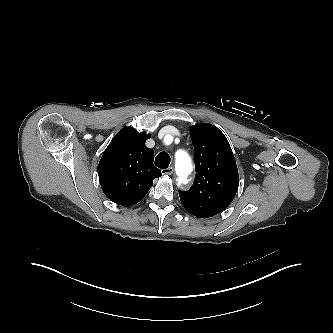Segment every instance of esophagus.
Segmentation results:
<instances>
[{"mask_svg": "<svg viewBox=\"0 0 333 333\" xmlns=\"http://www.w3.org/2000/svg\"><path fill=\"white\" fill-rule=\"evenodd\" d=\"M173 172H174V168L171 166V167H169V168H166V169H162L161 170V173L163 174V175H171V174H173Z\"/></svg>", "mask_w": 333, "mask_h": 333, "instance_id": "obj_1", "label": "esophagus"}]
</instances>
